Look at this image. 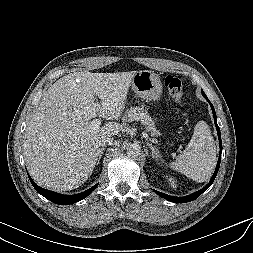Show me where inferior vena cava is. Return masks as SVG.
<instances>
[{
    "label": "inferior vena cava",
    "instance_id": "1",
    "mask_svg": "<svg viewBox=\"0 0 253 253\" xmlns=\"http://www.w3.org/2000/svg\"><path fill=\"white\" fill-rule=\"evenodd\" d=\"M114 143L115 141L111 136H104L99 141L100 146L112 145Z\"/></svg>",
    "mask_w": 253,
    "mask_h": 253
}]
</instances>
